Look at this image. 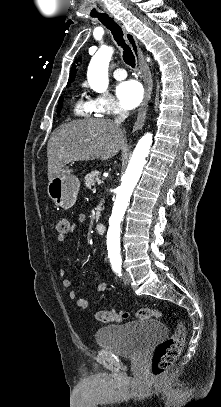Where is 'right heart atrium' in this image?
Instances as JSON below:
<instances>
[{"mask_svg":"<svg viewBox=\"0 0 221 407\" xmlns=\"http://www.w3.org/2000/svg\"><path fill=\"white\" fill-rule=\"evenodd\" d=\"M90 103L94 112L102 116H113L126 111L115 98L106 94L96 95Z\"/></svg>","mask_w":221,"mask_h":407,"instance_id":"obj_1","label":"right heart atrium"}]
</instances>
